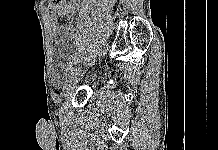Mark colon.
Returning <instances> with one entry per match:
<instances>
[{
    "mask_svg": "<svg viewBox=\"0 0 218 150\" xmlns=\"http://www.w3.org/2000/svg\"><path fill=\"white\" fill-rule=\"evenodd\" d=\"M62 0H50V7L58 5Z\"/></svg>",
    "mask_w": 218,
    "mask_h": 150,
    "instance_id": "colon-1",
    "label": "colon"
}]
</instances>
